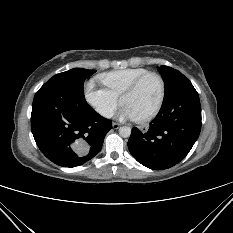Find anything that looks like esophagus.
<instances>
[{"label": "esophagus", "instance_id": "1", "mask_svg": "<svg viewBox=\"0 0 233 233\" xmlns=\"http://www.w3.org/2000/svg\"><path fill=\"white\" fill-rule=\"evenodd\" d=\"M112 127H113L114 129H118V128L120 127V124L114 122V123L112 124Z\"/></svg>", "mask_w": 233, "mask_h": 233}]
</instances>
